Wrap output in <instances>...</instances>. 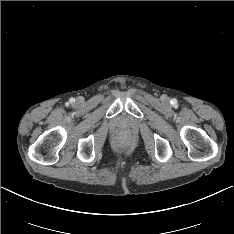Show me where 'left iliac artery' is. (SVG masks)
I'll return each mask as SVG.
<instances>
[{"label":"left iliac artery","instance_id":"44dca946","mask_svg":"<svg viewBox=\"0 0 234 234\" xmlns=\"http://www.w3.org/2000/svg\"><path fill=\"white\" fill-rule=\"evenodd\" d=\"M177 102V100L176 99H173V103H176Z\"/></svg>","mask_w":234,"mask_h":234}]
</instances>
